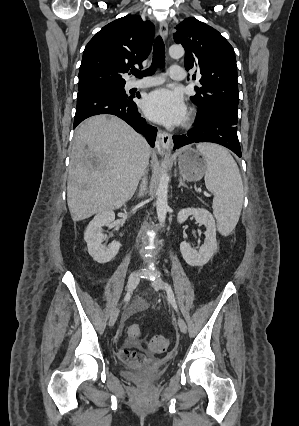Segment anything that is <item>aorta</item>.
I'll return each mask as SVG.
<instances>
[{
    "label": "aorta",
    "instance_id": "aorta-1",
    "mask_svg": "<svg viewBox=\"0 0 299 426\" xmlns=\"http://www.w3.org/2000/svg\"><path fill=\"white\" fill-rule=\"evenodd\" d=\"M184 48L181 45H172L169 48V55L170 57L174 59H179L184 55ZM168 183H169V176L166 171V165L162 164V170L159 177V185L156 192L157 200H156V210H157V217L160 222V224H163L166 219V214L168 211V201H167V194H168Z\"/></svg>",
    "mask_w": 299,
    "mask_h": 426
}]
</instances>
